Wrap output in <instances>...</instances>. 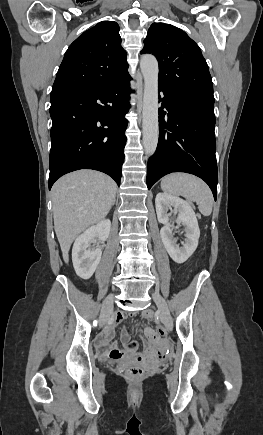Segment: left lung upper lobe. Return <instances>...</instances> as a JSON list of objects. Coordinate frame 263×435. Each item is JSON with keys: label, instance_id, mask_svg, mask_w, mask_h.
<instances>
[{"label": "left lung upper lobe", "instance_id": "1", "mask_svg": "<svg viewBox=\"0 0 263 435\" xmlns=\"http://www.w3.org/2000/svg\"><path fill=\"white\" fill-rule=\"evenodd\" d=\"M153 54L159 63V85L214 102L208 65L198 45L181 29L154 23L141 54Z\"/></svg>", "mask_w": 263, "mask_h": 435}]
</instances>
